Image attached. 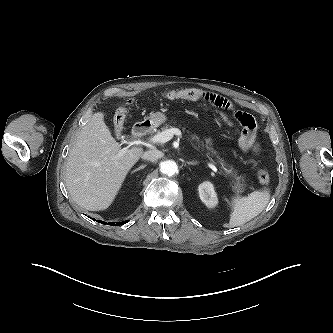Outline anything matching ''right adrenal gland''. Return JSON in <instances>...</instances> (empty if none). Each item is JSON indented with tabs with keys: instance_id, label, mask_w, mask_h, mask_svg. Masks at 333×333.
<instances>
[{
	"instance_id": "right-adrenal-gland-1",
	"label": "right adrenal gland",
	"mask_w": 333,
	"mask_h": 333,
	"mask_svg": "<svg viewBox=\"0 0 333 333\" xmlns=\"http://www.w3.org/2000/svg\"><path fill=\"white\" fill-rule=\"evenodd\" d=\"M145 167H146V164L145 165H141L138 168H136L135 170H133L132 173H135V172H137L139 170H143Z\"/></svg>"
}]
</instances>
